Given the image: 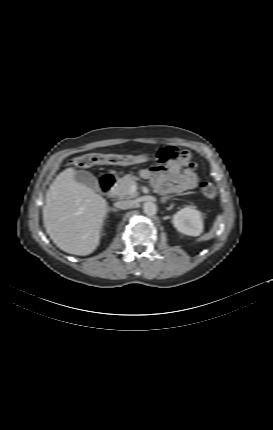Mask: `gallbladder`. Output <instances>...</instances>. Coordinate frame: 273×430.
I'll return each mask as SVG.
<instances>
[{
	"label": "gallbladder",
	"mask_w": 273,
	"mask_h": 430,
	"mask_svg": "<svg viewBox=\"0 0 273 430\" xmlns=\"http://www.w3.org/2000/svg\"><path fill=\"white\" fill-rule=\"evenodd\" d=\"M75 180L94 191H99L98 179L88 171H85V170L76 171Z\"/></svg>",
	"instance_id": "bac80fb5"
}]
</instances>
